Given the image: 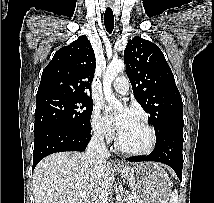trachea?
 Returning <instances> with one entry per match:
<instances>
[{"label":"trachea","instance_id":"3493384b","mask_svg":"<svg viewBox=\"0 0 214 203\" xmlns=\"http://www.w3.org/2000/svg\"><path fill=\"white\" fill-rule=\"evenodd\" d=\"M104 24H105L106 31L108 33H112V31L114 29V15H113V11L110 7H108L105 11Z\"/></svg>","mask_w":214,"mask_h":203}]
</instances>
